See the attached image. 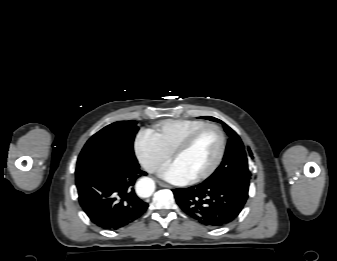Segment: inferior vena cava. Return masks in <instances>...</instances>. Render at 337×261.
I'll return each instance as SVG.
<instances>
[{
    "instance_id": "602c4592",
    "label": "inferior vena cava",
    "mask_w": 337,
    "mask_h": 261,
    "mask_svg": "<svg viewBox=\"0 0 337 261\" xmlns=\"http://www.w3.org/2000/svg\"><path fill=\"white\" fill-rule=\"evenodd\" d=\"M149 172H154L157 169L156 165H148L146 168Z\"/></svg>"
}]
</instances>
